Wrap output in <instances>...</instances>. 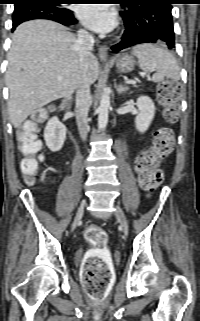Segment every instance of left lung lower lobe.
Listing matches in <instances>:
<instances>
[{"mask_svg":"<svg viewBox=\"0 0 200 321\" xmlns=\"http://www.w3.org/2000/svg\"><path fill=\"white\" fill-rule=\"evenodd\" d=\"M168 0H140L126 7L120 14L125 31L122 40L112 47L114 52L141 43H161L174 47L175 35Z\"/></svg>","mask_w":200,"mask_h":321,"instance_id":"obj_1","label":"left lung lower lobe"}]
</instances>
